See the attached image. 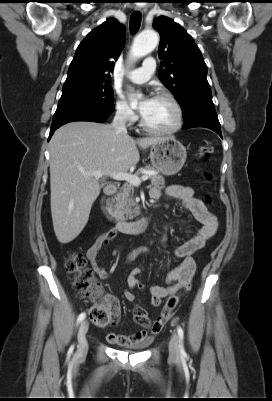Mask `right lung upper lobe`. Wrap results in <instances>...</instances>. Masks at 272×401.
<instances>
[{
    "instance_id": "right-lung-upper-lobe-1",
    "label": "right lung upper lobe",
    "mask_w": 272,
    "mask_h": 401,
    "mask_svg": "<svg viewBox=\"0 0 272 401\" xmlns=\"http://www.w3.org/2000/svg\"><path fill=\"white\" fill-rule=\"evenodd\" d=\"M124 42L125 28L116 19L110 18L91 31L76 50L63 90L110 81Z\"/></svg>"
}]
</instances>
